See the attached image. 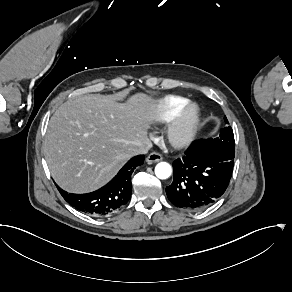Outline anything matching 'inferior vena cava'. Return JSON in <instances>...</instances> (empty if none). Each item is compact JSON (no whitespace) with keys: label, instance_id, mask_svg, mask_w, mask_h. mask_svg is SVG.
Listing matches in <instances>:
<instances>
[{"label":"inferior vena cava","instance_id":"1","mask_svg":"<svg viewBox=\"0 0 292 292\" xmlns=\"http://www.w3.org/2000/svg\"><path fill=\"white\" fill-rule=\"evenodd\" d=\"M152 146L153 145H152L151 141L149 139H147L146 142L142 146H140L132 151L131 156L139 155V154H146L148 152V150L152 148Z\"/></svg>","mask_w":292,"mask_h":292}]
</instances>
